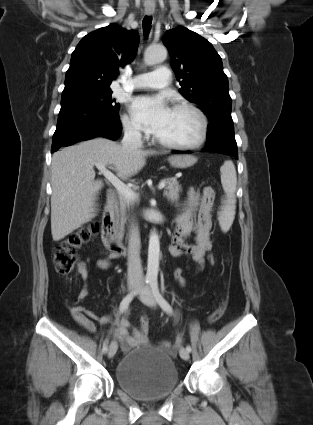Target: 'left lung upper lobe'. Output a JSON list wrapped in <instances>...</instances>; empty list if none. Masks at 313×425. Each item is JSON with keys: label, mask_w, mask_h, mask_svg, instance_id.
I'll return each mask as SVG.
<instances>
[{"label": "left lung upper lobe", "mask_w": 313, "mask_h": 425, "mask_svg": "<svg viewBox=\"0 0 313 425\" xmlns=\"http://www.w3.org/2000/svg\"><path fill=\"white\" fill-rule=\"evenodd\" d=\"M163 43L169 50L177 80H180L179 92L197 104L210 123L233 122L228 79L221 57L212 44L183 26L168 30Z\"/></svg>", "instance_id": "obj_1"}]
</instances>
